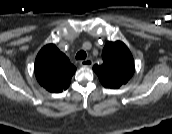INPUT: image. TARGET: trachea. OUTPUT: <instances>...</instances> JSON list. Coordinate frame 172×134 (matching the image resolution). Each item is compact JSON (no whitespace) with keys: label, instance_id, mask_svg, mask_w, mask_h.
I'll return each mask as SVG.
<instances>
[{"label":"trachea","instance_id":"trachea-1","mask_svg":"<svg viewBox=\"0 0 172 134\" xmlns=\"http://www.w3.org/2000/svg\"><path fill=\"white\" fill-rule=\"evenodd\" d=\"M87 57V54L85 51L81 50L76 54V59H83L85 60Z\"/></svg>","mask_w":172,"mask_h":134}]
</instances>
